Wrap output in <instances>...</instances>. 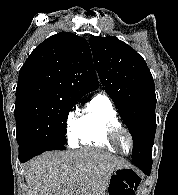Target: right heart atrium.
Here are the masks:
<instances>
[{"label": "right heart atrium", "instance_id": "right-heart-atrium-1", "mask_svg": "<svg viewBox=\"0 0 178 195\" xmlns=\"http://www.w3.org/2000/svg\"><path fill=\"white\" fill-rule=\"evenodd\" d=\"M79 123L80 116L78 115L77 107L73 106L66 116V129L70 146H75L78 142Z\"/></svg>", "mask_w": 178, "mask_h": 195}]
</instances>
